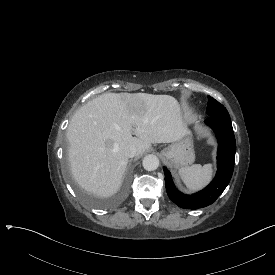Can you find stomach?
Here are the masks:
<instances>
[{
  "instance_id": "0dacf381",
  "label": "stomach",
  "mask_w": 275,
  "mask_h": 275,
  "mask_svg": "<svg viewBox=\"0 0 275 275\" xmlns=\"http://www.w3.org/2000/svg\"><path fill=\"white\" fill-rule=\"evenodd\" d=\"M161 154L175 168L191 165L195 160L191 132L188 130L183 139L166 147Z\"/></svg>"
}]
</instances>
